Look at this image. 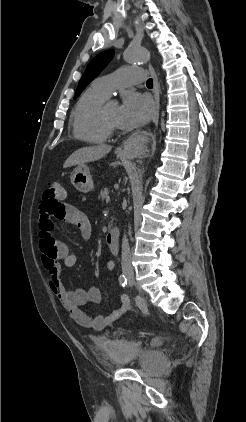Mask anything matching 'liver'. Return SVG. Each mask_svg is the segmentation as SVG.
I'll use <instances>...</instances> for the list:
<instances>
[{
  "mask_svg": "<svg viewBox=\"0 0 246 422\" xmlns=\"http://www.w3.org/2000/svg\"><path fill=\"white\" fill-rule=\"evenodd\" d=\"M111 149L112 147L110 145L104 144L81 148L69 156L63 167L68 168L75 165L80 166L88 162L97 161L107 155Z\"/></svg>",
  "mask_w": 246,
  "mask_h": 422,
  "instance_id": "6515ba94",
  "label": "liver"
}]
</instances>
